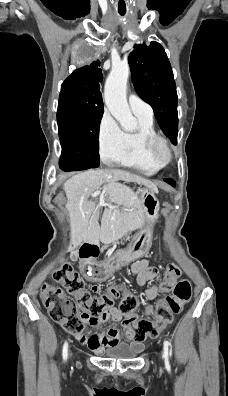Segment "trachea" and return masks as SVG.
<instances>
[{"label":"trachea","mask_w":228,"mask_h":396,"mask_svg":"<svg viewBox=\"0 0 228 396\" xmlns=\"http://www.w3.org/2000/svg\"><path fill=\"white\" fill-rule=\"evenodd\" d=\"M125 13H126V11H119V14H120L121 16L125 15Z\"/></svg>","instance_id":"3493384b"}]
</instances>
